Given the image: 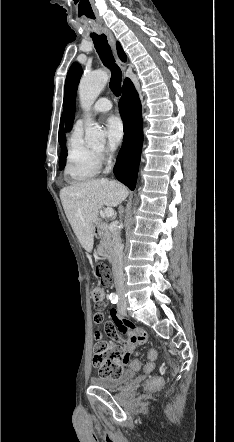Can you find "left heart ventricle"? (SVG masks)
Here are the masks:
<instances>
[{
  "label": "left heart ventricle",
  "instance_id": "b2bd125f",
  "mask_svg": "<svg viewBox=\"0 0 234 442\" xmlns=\"http://www.w3.org/2000/svg\"><path fill=\"white\" fill-rule=\"evenodd\" d=\"M100 149H101L100 147L97 148V150H100Z\"/></svg>",
  "mask_w": 234,
  "mask_h": 442
}]
</instances>
